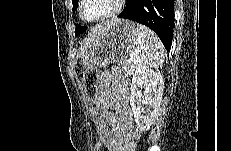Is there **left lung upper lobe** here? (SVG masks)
<instances>
[{
  "mask_svg": "<svg viewBox=\"0 0 231 151\" xmlns=\"http://www.w3.org/2000/svg\"><path fill=\"white\" fill-rule=\"evenodd\" d=\"M135 1L136 0H126V2H127L126 7L132 6ZM72 4H73V11H75L78 7V0H72ZM86 29H87L86 27H83V26H80L79 24H77L76 29H75V35L78 36V35L82 34L83 32L86 31Z\"/></svg>",
  "mask_w": 231,
  "mask_h": 151,
  "instance_id": "obj_1",
  "label": "left lung upper lobe"
}]
</instances>
